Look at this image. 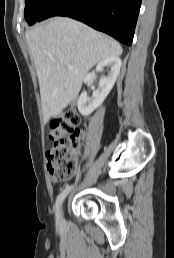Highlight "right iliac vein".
I'll list each match as a JSON object with an SVG mask.
<instances>
[{"instance_id":"right-iliac-vein-1","label":"right iliac vein","mask_w":174,"mask_h":258,"mask_svg":"<svg viewBox=\"0 0 174 258\" xmlns=\"http://www.w3.org/2000/svg\"><path fill=\"white\" fill-rule=\"evenodd\" d=\"M61 221H62V211H61Z\"/></svg>"}]
</instances>
